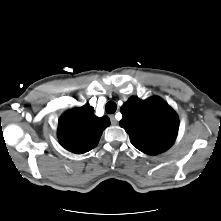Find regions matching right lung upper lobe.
Segmentation results:
<instances>
[{
	"label": "right lung upper lobe",
	"instance_id": "cb5924a9",
	"mask_svg": "<svg viewBox=\"0 0 221 221\" xmlns=\"http://www.w3.org/2000/svg\"><path fill=\"white\" fill-rule=\"evenodd\" d=\"M110 125L107 116L98 118L94 108L84 105L62 115L59 120L58 137L64 148L81 154L94 148L103 130Z\"/></svg>",
	"mask_w": 221,
	"mask_h": 221
}]
</instances>
